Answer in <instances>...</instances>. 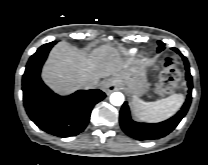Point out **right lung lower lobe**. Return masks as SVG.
<instances>
[{
  "label": "right lung lower lobe",
  "instance_id": "right-lung-lower-lobe-1",
  "mask_svg": "<svg viewBox=\"0 0 208 165\" xmlns=\"http://www.w3.org/2000/svg\"><path fill=\"white\" fill-rule=\"evenodd\" d=\"M55 44L38 49L26 65L22 78L24 107L43 131L59 137L75 136L86 128L91 110L106 95L98 89L79 90L66 97L53 93L41 80L40 73Z\"/></svg>",
  "mask_w": 208,
  "mask_h": 165
}]
</instances>
